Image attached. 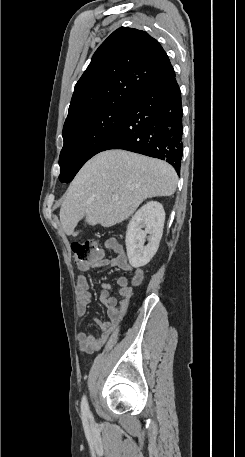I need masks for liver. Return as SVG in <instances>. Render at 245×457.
<instances>
[{
  "mask_svg": "<svg viewBox=\"0 0 245 457\" xmlns=\"http://www.w3.org/2000/svg\"><path fill=\"white\" fill-rule=\"evenodd\" d=\"M177 180L165 160L120 148L99 152L80 168L65 192L60 208L63 231L77 237L74 229L83 216L88 224L122 222L145 198L173 194Z\"/></svg>",
  "mask_w": 245,
  "mask_h": 457,
  "instance_id": "obj_1",
  "label": "liver"
}]
</instances>
